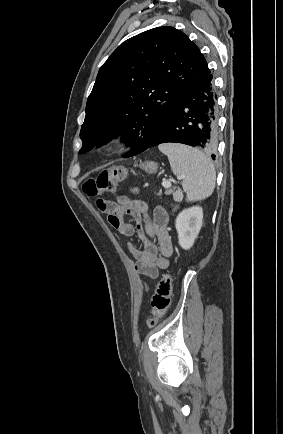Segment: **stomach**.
<instances>
[{"label": "stomach", "mask_w": 283, "mask_h": 434, "mask_svg": "<svg viewBox=\"0 0 283 434\" xmlns=\"http://www.w3.org/2000/svg\"><path fill=\"white\" fill-rule=\"evenodd\" d=\"M140 168L148 173H155L157 171V163L153 161H147L141 163Z\"/></svg>", "instance_id": "obj_1"}]
</instances>
